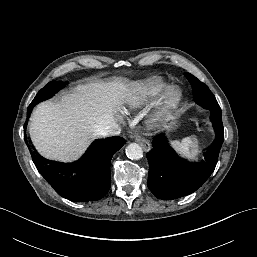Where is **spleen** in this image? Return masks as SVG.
Returning <instances> with one entry per match:
<instances>
[{
	"label": "spleen",
	"instance_id": "3e777b00",
	"mask_svg": "<svg viewBox=\"0 0 257 257\" xmlns=\"http://www.w3.org/2000/svg\"><path fill=\"white\" fill-rule=\"evenodd\" d=\"M197 144L198 141L195 136H188L181 141L174 140L171 142V145L177 154L190 159H195L200 153Z\"/></svg>",
	"mask_w": 257,
	"mask_h": 257
}]
</instances>
